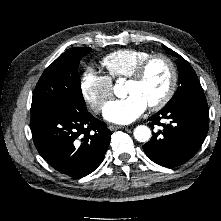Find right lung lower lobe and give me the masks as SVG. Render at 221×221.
<instances>
[{
    "label": "right lung lower lobe",
    "mask_w": 221,
    "mask_h": 221,
    "mask_svg": "<svg viewBox=\"0 0 221 221\" xmlns=\"http://www.w3.org/2000/svg\"><path fill=\"white\" fill-rule=\"evenodd\" d=\"M39 154L57 171L80 178L103 161L112 132L86 108L62 105L31 114Z\"/></svg>",
    "instance_id": "98d812e1"
}]
</instances>
